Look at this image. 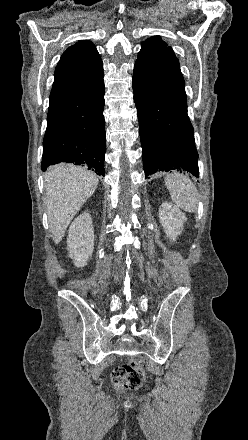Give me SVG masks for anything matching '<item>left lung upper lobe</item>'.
I'll return each mask as SVG.
<instances>
[{
	"mask_svg": "<svg viewBox=\"0 0 248 440\" xmlns=\"http://www.w3.org/2000/svg\"><path fill=\"white\" fill-rule=\"evenodd\" d=\"M134 73L144 82L169 92L187 104L185 82L178 59L160 36L149 38L142 44Z\"/></svg>",
	"mask_w": 248,
	"mask_h": 440,
	"instance_id": "left-lung-upper-lobe-1",
	"label": "left lung upper lobe"
}]
</instances>
